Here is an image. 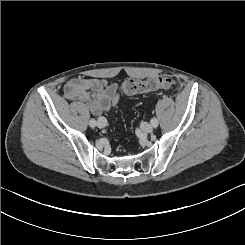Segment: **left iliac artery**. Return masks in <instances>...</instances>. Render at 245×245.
<instances>
[{
  "label": "left iliac artery",
  "mask_w": 245,
  "mask_h": 245,
  "mask_svg": "<svg viewBox=\"0 0 245 245\" xmlns=\"http://www.w3.org/2000/svg\"><path fill=\"white\" fill-rule=\"evenodd\" d=\"M150 123H151V125L153 127H157L158 126V120L156 118L151 119Z\"/></svg>",
  "instance_id": "obj_1"
}]
</instances>
